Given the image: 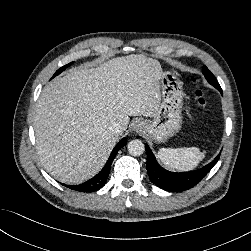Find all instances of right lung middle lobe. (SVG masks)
Returning <instances> with one entry per match:
<instances>
[{"instance_id":"dd1d6c3e","label":"right lung middle lobe","mask_w":251,"mask_h":251,"mask_svg":"<svg viewBox=\"0 0 251 251\" xmlns=\"http://www.w3.org/2000/svg\"><path fill=\"white\" fill-rule=\"evenodd\" d=\"M71 65V63H69V64H67V65H65V66H63V67H61L60 69H58L56 72H55V74L53 75V77H55V76H57V75H59L63 70H65L68 66H70ZM52 77V78H53Z\"/></svg>"}]
</instances>
